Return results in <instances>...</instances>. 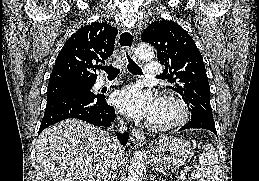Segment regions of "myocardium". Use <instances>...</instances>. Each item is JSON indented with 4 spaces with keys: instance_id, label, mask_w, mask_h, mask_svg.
<instances>
[{
    "instance_id": "1",
    "label": "myocardium",
    "mask_w": 259,
    "mask_h": 181,
    "mask_svg": "<svg viewBox=\"0 0 259 181\" xmlns=\"http://www.w3.org/2000/svg\"><path fill=\"white\" fill-rule=\"evenodd\" d=\"M159 103L165 106H169L174 111V116L165 122L150 121L149 127L154 131H170L181 127L185 124L189 118V110L186 103L176 96L175 94L168 92L164 93L159 98Z\"/></svg>"
}]
</instances>
